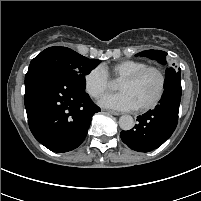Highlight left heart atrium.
Instances as JSON below:
<instances>
[{
	"label": "left heart atrium",
	"mask_w": 201,
	"mask_h": 201,
	"mask_svg": "<svg viewBox=\"0 0 201 201\" xmlns=\"http://www.w3.org/2000/svg\"><path fill=\"white\" fill-rule=\"evenodd\" d=\"M99 104L102 107L117 111H130L137 108L131 96L126 92L105 95Z\"/></svg>",
	"instance_id": "left-heart-atrium-1"
}]
</instances>
